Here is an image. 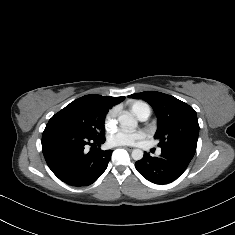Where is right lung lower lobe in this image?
I'll return each mask as SVG.
<instances>
[{"mask_svg": "<svg viewBox=\"0 0 235 235\" xmlns=\"http://www.w3.org/2000/svg\"><path fill=\"white\" fill-rule=\"evenodd\" d=\"M105 138L95 139L72 128L48 123L42 135V151L51 171L72 186H88L106 170L111 150L96 148ZM87 145L91 150L86 153Z\"/></svg>", "mask_w": 235, "mask_h": 235, "instance_id": "right-lung-lower-lobe-1", "label": "right lung lower lobe"}]
</instances>
